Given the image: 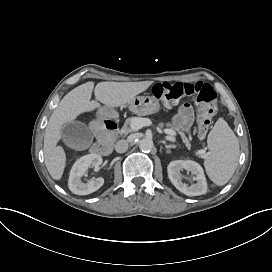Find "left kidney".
I'll use <instances>...</instances> for the list:
<instances>
[{
	"label": "left kidney",
	"mask_w": 272,
	"mask_h": 272,
	"mask_svg": "<svg viewBox=\"0 0 272 272\" xmlns=\"http://www.w3.org/2000/svg\"><path fill=\"white\" fill-rule=\"evenodd\" d=\"M185 169L195 175L196 184L187 186L182 182L180 171ZM168 177L172 184L187 196H199L207 192V183L203 168L192 160H175L171 161L167 167Z\"/></svg>",
	"instance_id": "obj_1"
}]
</instances>
